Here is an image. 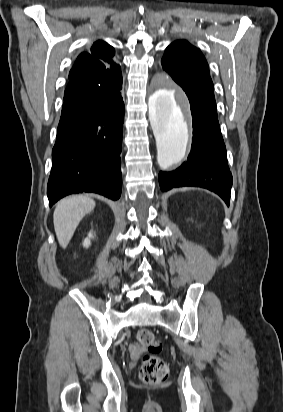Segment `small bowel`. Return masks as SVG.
I'll use <instances>...</instances> for the list:
<instances>
[{
    "label": "small bowel",
    "instance_id": "c3829d8e",
    "mask_svg": "<svg viewBox=\"0 0 283 412\" xmlns=\"http://www.w3.org/2000/svg\"><path fill=\"white\" fill-rule=\"evenodd\" d=\"M129 352L132 358H137L142 353V348L139 345L132 343L129 346Z\"/></svg>",
    "mask_w": 283,
    "mask_h": 412
}]
</instances>
